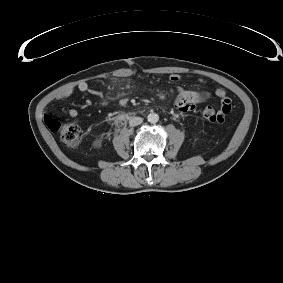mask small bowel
I'll use <instances>...</instances> for the list:
<instances>
[{
    "label": "small bowel",
    "instance_id": "small-bowel-1",
    "mask_svg": "<svg viewBox=\"0 0 283 283\" xmlns=\"http://www.w3.org/2000/svg\"><path fill=\"white\" fill-rule=\"evenodd\" d=\"M181 77L178 74H171L169 76V81L175 85V93H176V100H175V107L176 109L183 114H188L196 110L197 104L205 102L208 100L212 95H215L221 99V107L222 108L226 101H229L231 104L230 99L227 96V93L222 88H217L214 92L209 91H192L183 88L179 85ZM204 83L203 80H201ZM89 87L88 84L83 82L80 83L77 87L78 91L85 92L88 91ZM73 92H70L67 96H71ZM68 115L70 118L75 119L78 117L79 112L76 108H71L68 111Z\"/></svg>",
    "mask_w": 283,
    "mask_h": 283
}]
</instances>
